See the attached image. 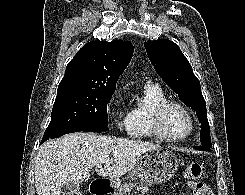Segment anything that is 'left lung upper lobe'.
<instances>
[{
  "mask_svg": "<svg viewBox=\"0 0 245 195\" xmlns=\"http://www.w3.org/2000/svg\"><path fill=\"white\" fill-rule=\"evenodd\" d=\"M144 47L159 76L178 94L184 104L196 111L201 123V145L211 146L206 102L202 96L200 82L179 46L170 40L160 39L145 41Z\"/></svg>",
  "mask_w": 245,
  "mask_h": 195,
  "instance_id": "1",
  "label": "left lung upper lobe"
}]
</instances>
